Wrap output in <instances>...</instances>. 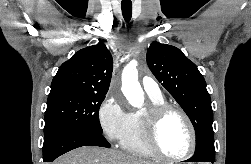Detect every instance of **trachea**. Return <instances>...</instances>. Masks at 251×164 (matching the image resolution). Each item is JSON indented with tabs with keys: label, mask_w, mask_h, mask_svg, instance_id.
<instances>
[{
	"label": "trachea",
	"mask_w": 251,
	"mask_h": 164,
	"mask_svg": "<svg viewBox=\"0 0 251 164\" xmlns=\"http://www.w3.org/2000/svg\"><path fill=\"white\" fill-rule=\"evenodd\" d=\"M122 15L126 22H129L132 17V3L130 0L128 2L121 3Z\"/></svg>",
	"instance_id": "trachea-1"
}]
</instances>
